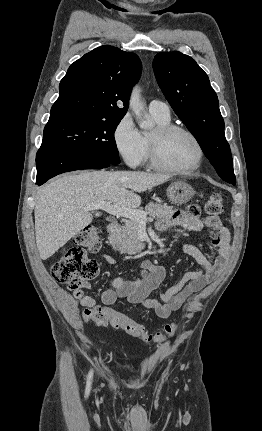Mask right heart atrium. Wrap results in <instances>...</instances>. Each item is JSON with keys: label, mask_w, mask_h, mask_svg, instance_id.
I'll return each mask as SVG.
<instances>
[{"label": "right heart atrium", "mask_w": 262, "mask_h": 431, "mask_svg": "<svg viewBox=\"0 0 262 431\" xmlns=\"http://www.w3.org/2000/svg\"><path fill=\"white\" fill-rule=\"evenodd\" d=\"M113 141L120 156L130 166H137L144 160L145 143L129 113L124 114L115 125Z\"/></svg>", "instance_id": "right-heart-atrium-1"}]
</instances>
